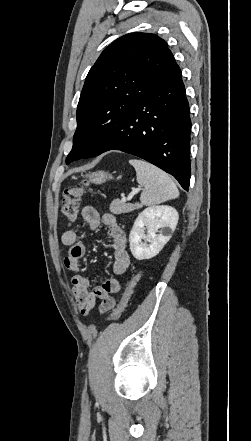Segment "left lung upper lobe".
Segmentation results:
<instances>
[{"instance_id": "1", "label": "left lung upper lobe", "mask_w": 251, "mask_h": 441, "mask_svg": "<svg viewBox=\"0 0 251 441\" xmlns=\"http://www.w3.org/2000/svg\"><path fill=\"white\" fill-rule=\"evenodd\" d=\"M172 59L167 43L155 34L130 33L112 42L86 77L66 164L88 158L94 129L125 117Z\"/></svg>"}]
</instances>
